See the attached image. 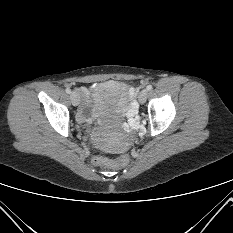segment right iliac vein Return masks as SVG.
Listing matches in <instances>:
<instances>
[{"mask_svg":"<svg viewBox=\"0 0 233 233\" xmlns=\"http://www.w3.org/2000/svg\"><path fill=\"white\" fill-rule=\"evenodd\" d=\"M70 99H71V102L74 106H77L80 103L79 94L75 91L71 92Z\"/></svg>","mask_w":233,"mask_h":233,"instance_id":"obj_1","label":"right iliac vein"}]
</instances>
